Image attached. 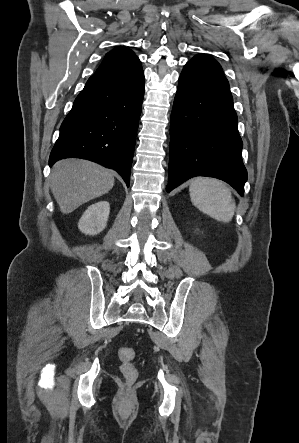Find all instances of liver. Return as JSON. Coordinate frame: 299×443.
<instances>
[{
  "label": "liver",
  "mask_w": 299,
  "mask_h": 443,
  "mask_svg": "<svg viewBox=\"0 0 299 443\" xmlns=\"http://www.w3.org/2000/svg\"><path fill=\"white\" fill-rule=\"evenodd\" d=\"M113 186L111 171L83 159L68 158L56 162L50 176L52 194L63 214L106 194Z\"/></svg>",
  "instance_id": "liver-1"
}]
</instances>
